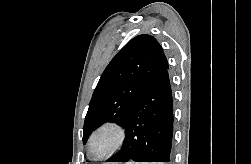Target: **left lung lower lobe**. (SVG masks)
<instances>
[{"mask_svg": "<svg viewBox=\"0 0 251 164\" xmlns=\"http://www.w3.org/2000/svg\"><path fill=\"white\" fill-rule=\"evenodd\" d=\"M168 68L141 93L125 122L122 150L106 162H170L173 99Z\"/></svg>", "mask_w": 251, "mask_h": 164, "instance_id": "obj_1", "label": "left lung lower lobe"}]
</instances>
